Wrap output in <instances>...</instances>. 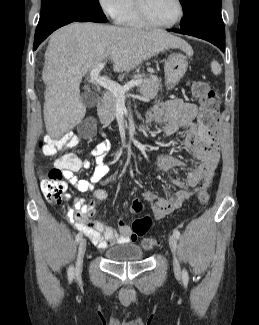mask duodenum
Segmentation results:
<instances>
[{
  "label": "duodenum",
  "mask_w": 259,
  "mask_h": 325,
  "mask_svg": "<svg viewBox=\"0 0 259 325\" xmlns=\"http://www.w3.org/2000/svg\"><path fill=\"white\" fill-rule=\"evenodd\" d=\"M102 105H103V100L100 98V99H98V101H97V103H96V107H97V108H101Z\"/></svg>",
  "instance_id": "duodenum-1"
}]
</instances>
